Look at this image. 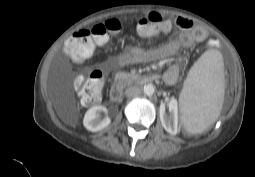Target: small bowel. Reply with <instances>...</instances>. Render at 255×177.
<instances>
[{
    "label": "small bowel",
    "instance_id": "obj_1",
    "mask_svg": "<svg viewBox=\"0 0 255 177\" xmlns=\"http://www.w3.org/2000/svg\"><path fill=\"white\" fill-rule=\"evenodd\" d=\"M175 24L181 30L179 35L154 48L127 47L118 57L117 64L125 66L134 63H151L165 60L176 54L180 48L190 46L194 42L205 38V31L196 27L188 18L178 17ZM169 29L170 27L167 30ZM180 76L181 66L179 63H174L165 72L163 79L165 84L174 85L178 82Z\"/></svg>",
    "mask_w": 255,
    "mask_h": 177
}]
</instances>
